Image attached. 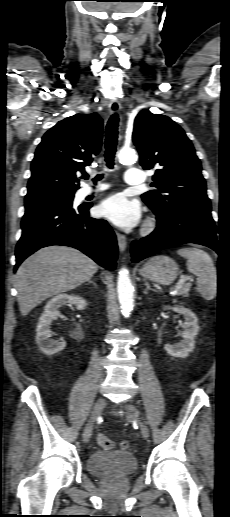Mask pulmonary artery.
<instances>
[{
	"label": "pulmonary artery",
	"instance_id": "obj_1",
	"mask_svg": "<svg viewBox=\"0 0 230 517\" xmlns=\"http://www.w3.org/2000/svg\"><path fill=\"white\" fill-rule=\"evenodd\" d=\"M145 181V175L140 169L128 168L125 174V182L128 185H139ZM106 186H100L95 190L87 189L85 194H91L92 192H98L104 190Z\"/></svg>",
	"mask_w": 230,
	"mask_h": 517
}]
</instances>
